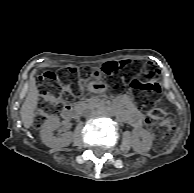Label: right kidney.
<instances>
[{
  "label": "right kidney",
  "mask_w": 194,
  "mask_h": 193,
  "mask_svg": "<svg viewBox=\"0 0 194 193\" xmlns=\"http://www.w3.org/2000/svg\"><path fill=\"white\" fill-rule=\"evenodd\" d=\"M60 126V119L58 116H50L43 124L40 131L42 142L50 148L66 147L71 143V133L66 132L61 136H54L53 131Z\"/></svg>",
  "instance_id": "ca27d5eb"
}]
</instances>
